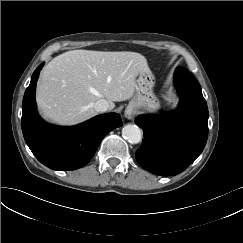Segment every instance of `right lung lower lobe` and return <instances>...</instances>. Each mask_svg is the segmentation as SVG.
I'll list each match as a JSON object with an SVG mask.
<instances>
[{
	"label": "right lung lower lobe",
	"mask_w": 243,
	"mask_h": 243,
	"mask_svg": "<svg viewBox=\"0 0 243 243\" xmlns=\"http://www.w3.org/2000/svg\"><path fill=\"white\" fill-rule=\"evenodd\" d=\"M44 63L34 71L22 103V132L35 157L54 170H75L85 166L94 156L102 139L122 126L119 114L96 116L71 127H59L43 121L36 109L35 88Z\"/></svg>",
	"instance_id": "obj_1"
}]
</instances>
